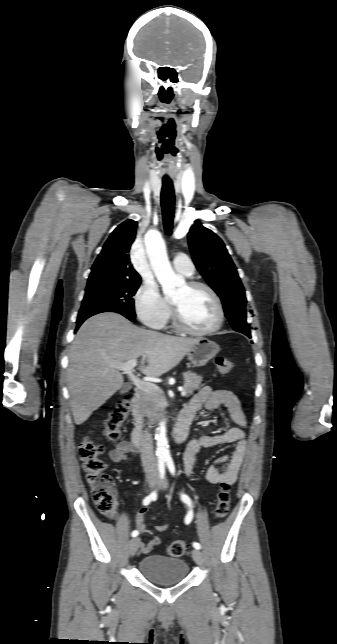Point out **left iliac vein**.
<instances>
[{
	"instance_id": "4c4485c4",
	"label": "left iliac vein",
	"mask_w": 337,
	"mask_h": 644,
	"mask_svg": "<svg viewBox=\"0 0 337 644\" xmlns=\"http://www.w3.org/2000/svg\"><path fill=\"white\" fill-rule=\"evenodd\" d=\"M167 486H168V483H167V481H165V482L163 483L162 488H163V489H166V488H167ZM192 557H193V560H194L198 565H202V564H203V554H202V552H201L199 549H194V550L192 551Z\"/></svg>"
}]
</instances>
